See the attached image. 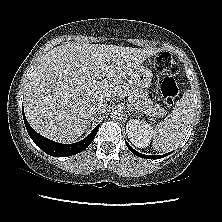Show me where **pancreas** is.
Returning <instances> with one entry per match:
<instances>
[{"instance_id": "pancreas-1", "label": "pancreas", "mask_w": 222, "mask_h": 222, "mask_svg": "<svg viewBox=\"0 0 222 222\" xmlns=\"http://www.w3.org/2000/svg\"><path fill=\"white\" fill-rule=\"evenodd\" d=\"M122 92L128 96L130 103L137 111L143 112L153 117H164L167 112L160 105H153L151 99L148 98V93L134 85L127 84L123 87Z\"/></svg>"}]
</instances>
